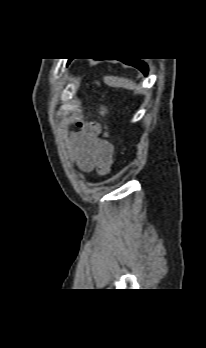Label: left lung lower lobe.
I'll list each match as a JSON object with an SVG mask.
<instances>
[{
  "label": "left lung lower lobe",
  "instance_id": "0a47b994",
  "mask_svg": "<svg viewBox=\"0 0 206 348\" xmlns=\"http://www.w3.org/2000/svg\"><path fill=\"white\" fill-rule=\"evenodd\" d=\"M121 61L124 62L125 64L138 68L141 72L144 73V75H147L148 73L147 65L138 59H129V60H121Z\"/></svg>",
  "mask_w": 206,
  "mask_h": 348
}]
</instances>
